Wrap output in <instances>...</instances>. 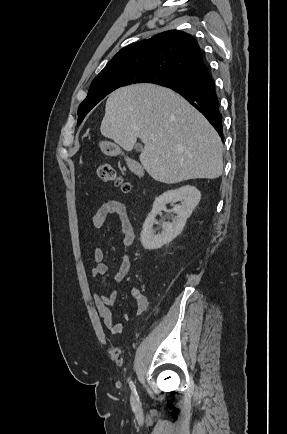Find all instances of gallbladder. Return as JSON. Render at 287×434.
<instances>
[{"instance_id": "obj_1", "label": "gallbladder", "mask_w": 287, "mask_h": 434, "mask_svg": "<svg viewBox=\"0 0 287 434\" xmlns=\"http://www.w3.org/2000/svg\"><path fill=\"white\" fill-rule=\"evenodd\" d=\"M137 149H139V150H141L142 149V146L141 145H139V144H137L136 146H135Z\"/></svg>"}]
</instances>
